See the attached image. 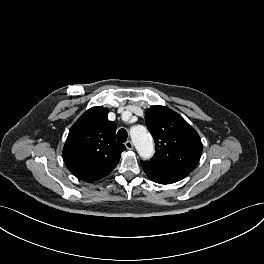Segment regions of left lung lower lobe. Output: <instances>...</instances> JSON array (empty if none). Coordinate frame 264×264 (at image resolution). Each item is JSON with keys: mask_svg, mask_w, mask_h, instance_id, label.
I'll return each mask as SVG.
<instances>
[{"mask_svg": "<svg viewBox=\"0 0 264 264\" xmlns=\"http://www.w3.org/2000/svg\"><path fill=\"white\" fill-rule=\"evenodd\" d=\"M146 175L159 184H171L182 180L189 175L190 171L174 166L164 165L153 161H141Z\"/></svg>", "mask_w": 264, "mask_h": 264, "instance_id": "left-lung-lower-lobe-1", "label": "left lung lower lobe"}]
</instances>
